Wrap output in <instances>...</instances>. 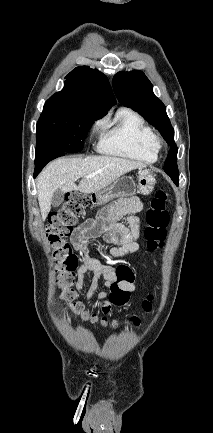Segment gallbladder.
<instances>
[{
    "label": "gallbladder",
    "instance_id": "obj_1",
    "mask_svg": "<svg viewBox=\"0 0 213 433\" xmlns=\"http://www.w3.org/2000/svg\"><path fill=\"white\" fill-rule=\"evenodd\" d=\"M64 200V192L60 189L55 190L51 199V205L56 208L60 206V204Z\"/></svg>",
    "mask_w": 213,
    "mask_h": 433
}]
</instances>
